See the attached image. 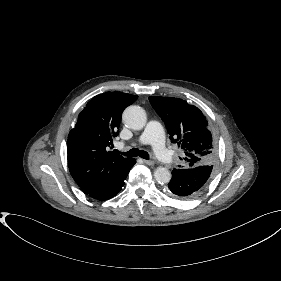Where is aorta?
Returning <instances> with one entry per match:
<instances>
[{
    "mask_svg": "<svg viewBox=\"0 0 281 281\" xmlns=\"http://www.w3.org/2000/svg\"><path fill=\"white\" fill-rule=\"evenodd\" d=\"M124 123L134 130L142 129L146 124V113L145 111L136 105L127 107L123 112ZM154 177L158 183L164 184L171 180V173L165 167H158L154 172Z\"/></svg>",
    "mask_w": 281,
    "mask_h": 281,
    "instance_id": "obj_1",
    "label": "aorta"
}]
</instances>
